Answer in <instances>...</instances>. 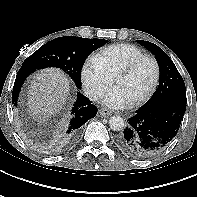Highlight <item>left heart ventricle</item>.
I'll return each mask as SVG.
<instances>
[{"mask_svg":"<svg viewBox=\"0 0 197 197\" xmlns=\"http://www.w3.org/2000/svg\"><path fill=\"white\" fill-rule=\"evenodd\" d=\"M154 78V66L150 61L141 63L130 75L115 81V86L121 89L131 102L143 95L151 86Z\"/></svg>","mask_w":197,"mask_h":197,"instance_id":"1","label":"left heart ventricle"}]
</instances>
